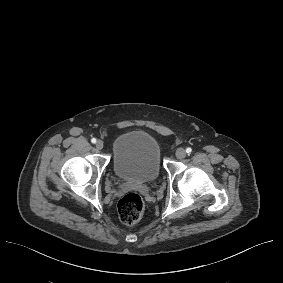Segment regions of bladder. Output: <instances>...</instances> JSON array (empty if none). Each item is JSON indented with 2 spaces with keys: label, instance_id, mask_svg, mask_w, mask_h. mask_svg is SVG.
Masks as SVG:
<instances>
[{
  "label": "bladder",
  "instance_id": "1",
  "mask_svg": "<svg viewBox=\"0 0 283 283\" xmlns=\"http://www.w3.org/2000/svg\"><path fill=\"white\" fill-rule=\"evenodd\" d=\"M113 170L124 180L153 182L161 171L157 141L141 131L121 134L113 146Z\"/></svg>",
  "mask_w": 283,
  "mask_h": 283
}]
</instances>
